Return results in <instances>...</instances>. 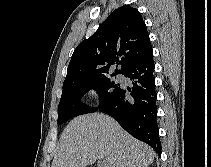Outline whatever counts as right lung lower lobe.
Returning a JSON list of instances; mask_svg holds the SVG:
<instances>
[{
  "mask_svg": "<svg viewBox=\"0 0 211 167\" xmlns=\"http://www.w3.org/2000/svg\"><path fill=\"white\" fill-rule=\"evenodd\" d=\"M154 68L153 56L130 67L123 75L132 80V88L121 89L101 112L115 118L128 133L150 145L160 156ZM129 94L133 99H128Z\"/></svg>",
  "mask_w": 211,
  "mask_h": 167,
  "instance_id": "obj_1",
  "label": "right lung lower lobe"
}]
</instances>
